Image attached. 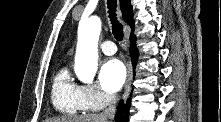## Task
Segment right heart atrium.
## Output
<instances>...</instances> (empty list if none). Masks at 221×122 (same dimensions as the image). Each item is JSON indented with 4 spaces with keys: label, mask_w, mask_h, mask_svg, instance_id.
Masks as SVG:
<instances>
[{
    "label": "right heart atrium",
    "mask_w": 221,
    "mask_h": 122,
    "mask_svg": "<svg viewBox=\"0 0 221 122\" xmlns=\"http://www.w3.org/2000/svg\"><path fill=\"white\" fill-rule=\"evenodd\" d=\"M81 99L86 110H99L113 102V97L93 85L81 86Z\"/></svg>",
    "instance_id": "1"
}]
</instances>
